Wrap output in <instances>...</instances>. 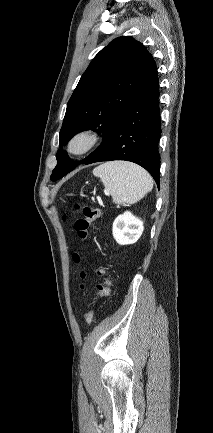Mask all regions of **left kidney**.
Returning <instances> with one entry per match:
<instances>
[{
  "label": "left kidney",
  "mask_w": 213,
  "mask_h": 433,
  "mask_svg": "<svg viewBox=\"0 0 213 433\" xmlns=\"http://www.w3.org/2000/svg\"><path fill=\"white\" fill-rule=\"evenodd\" d=\"M143 230V222L131 212L126 211L114 220L112 233L119 245H129L138 241Z\"/></svg>",
  "instance_id": "1"
}]
</instances>
